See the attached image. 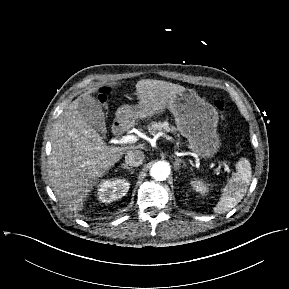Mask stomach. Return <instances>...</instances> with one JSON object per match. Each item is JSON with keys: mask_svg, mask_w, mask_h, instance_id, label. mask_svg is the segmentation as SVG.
<instances>
[{"mask_svg": "<svg viewBox=\"0 0 289 289\" xmlns=\"http://www.w3.org/2000/svg\"><path fill=\"white\" fill-rule=\"evenodd\" d=\"M175 117L177 130L187 139L188 147L201 157H211L220 147L217 133L218 112L192 89L177 93L168 105ZM117 119L127 121L150 116L137 106L120 107Z\"/></svg>", "mask_w": 289, "mask_h": 289, "instance_id": "obj_1", "label": "stomach"}]
</instances>
